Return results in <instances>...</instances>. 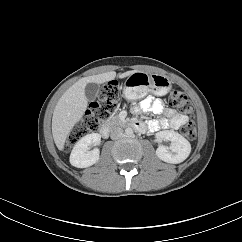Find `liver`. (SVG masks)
<instances>
[{
	"mask_svg": "<svg viewBox=\"0 0 242 242\" xmlns=\"http://www.w3.org/2000/svg\"><path fill=\"white\" fill-rule=\"evenodd\" d=\"M136 72L127 71L119 74V78H125ZM116 72L110 71L80 79L73 84L59 99L52 117V134L54 142L59 150L64 149L65 141L76 123L83 117L87 109L85 87L88 83L102 84L115 79Z\"/></svg>",
	"mask_w": 242,
	"mask_h": 242,
	"instance_id": "liver-1",
	"label": "liver"
}]
</instances>
